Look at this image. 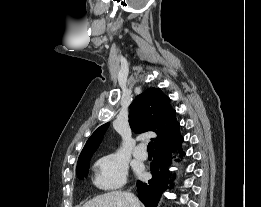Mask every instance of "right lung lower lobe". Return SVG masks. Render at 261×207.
<instances>
[{"label": "right lung lower lobe", "mask_w": 261, "mask_h": 207, "mask_svg": "<svg viewBox=\"0 0 261 207\" xmlns=\"http://www.w3.org/2000/svg\"><path fill=\"white\" fill-rule=\"evenodd\" d=\"M182 142L183 138L179 137L170 144L156 148L153 161L150 163L152 179L147 182L137 181L138 197L146 207H156L163 191L167 189L171 175L168 170L172 163L171 154L178 149L184 155V152L181 151Z\"/></svg>", "instance_id": "1"}]
</instances>
